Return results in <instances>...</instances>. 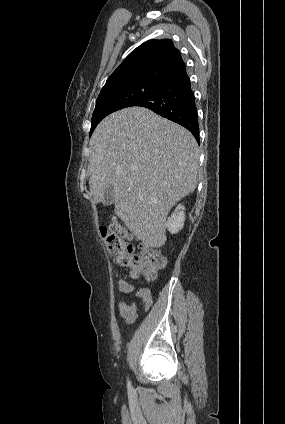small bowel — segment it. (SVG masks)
<instances>
[{
    "mask_svg": "<svg viewBox=\"0 0 285 424\" xmlns=\"http://www.w3.org/2000/svg\"><path fill=\"white\" fill-rule=\"evenodd\" d=\"M119 291L122 299L118 301L117 309L121 317H123L127 324H133L138 317V310L148 311L152 305V297L149 289L138 288L136 289L126 279L118 281ZM135 296L134 301H130L129 297Z\"/></svg>",
    "mask_w": 285,
    "mask_h": 424,
    "instance_id": "c3829d8e",
    "label": "small bowel"
}]
</instances>
